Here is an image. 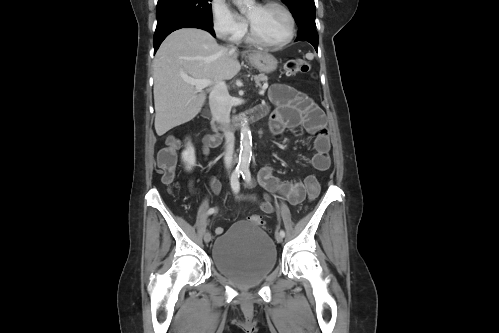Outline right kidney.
<instances>
[{"instance_id":"1","label":"right kidney","mask_w":499,"mask_h":333,"mask_svg":"<svg viewBox=\"0 0 499 333\" xmlns=\"http://www.w3.org/2000/svg\"><path fill=\"white\" fill-rule=\"evenodd\" d=\"M181 159L185 164V169L191 171L196 164L195 149L191 142L187 143L185 150L181 154Z\"/></svg>"}]
</instances>
